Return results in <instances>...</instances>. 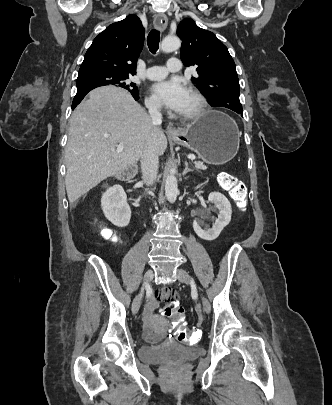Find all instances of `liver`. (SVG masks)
Instances as JSON below:
<instances>
[{
  "label": "liver",
  "mask_w": 332,
  "mask_h": 405,
  "mask_svg": "<svg viewBox=\"0 0 332 405\" xmlns=\"http://www.w3.org/2000/svg\"><path fill=\"white\" fill-rule=\"evenodd\" d=\"M151 139L158 156L167 148L159 126L131 94L113 86L93 89L72 113L65 148V185L75 202L101 181L137 163ZM123 144L122 152L116 148Z\"/></svg>",
  "instance_id": "liver-1"
}]
</instances>
